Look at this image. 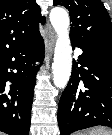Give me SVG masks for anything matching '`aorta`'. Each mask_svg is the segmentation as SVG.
Instances as JSON below:
<instances>
[{
  "label": "aorta",
  "instance_id": "1",
  "mask_svg": "<svg viewBox=\"0 0 112 135\" xmlns=\"http://www.w3.org/2000/svg\"><path fill=\"white\" fill-rule=\"evenodd\" d=\"M51 24L57 33L52 64L54 85L64 89L69 81L72 70V49L69 38V15L60 7H55L50 12Z\"/></svg>",
  "mask_w": 112,
  "mask_h": 135
}]
</instances>
